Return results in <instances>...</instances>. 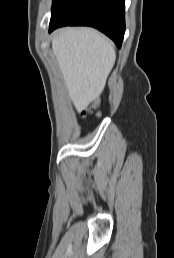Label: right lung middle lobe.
<instances>
[{
  "instance_id": "obj_1",
  "label": "right lung middle lobe",
  "mask_w": 174,
  "mask_h": 258,
  "mask_svg": "<svg viewBox=\"0 0 174 258\" xmlns=\"http://www.w3.org/2000/svg\"><path fill=\"white\" fill-rule=\"evenodd\" d=\"M67 0H53L52 5V15L56 13L66 2Z\"/></svg>"
}]
</instances>
